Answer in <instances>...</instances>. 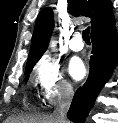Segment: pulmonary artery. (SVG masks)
I'll list each match as a JSON object with an SVG mask.
<instances>
[{"instance_id": "obj_1", "label": "pulmonary artery", "mask_w": 118, "mask_h": 123, "mask_svg": "<svg viewBox=\"0 0 118 123\" xmlns=\"http://www.w3.org/2000/svg\"><path fill=\"white\" fill-rule=\"evenodd\" d=\"M69 47L75 52H79L84 48V43L80 33H74L70 39Z\"/></svg>"}]
</instances>
